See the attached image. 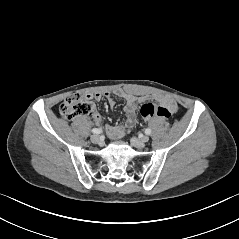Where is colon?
Here are the masks:
<instances>
[{
    "mask_svg": "<svg viewBox=\"0 0 239 239\" xmlns=\"http://www.w3.org/2000/svg\"><path fill=\"white\" fill-rule=\"evenodd\" d=\"M140 112L146 120L155 117L168 118L170 116L169 110L156 102L143 104ZM60 113L67 119H72L77 116H91L95 113V105L88 95L73 94L62 102L60 105Z\"/></svg>",
    "mask_w": 239,
    "mask_h": 239,
    "instance_id": "5ec220e1",
    "label": "colon"
}]
</instances>
